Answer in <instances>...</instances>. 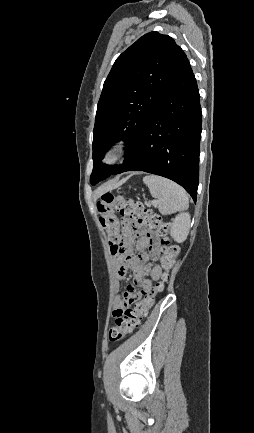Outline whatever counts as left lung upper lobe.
<instances>
[{"label":"left lung upper lobe","mask_w":254,"mask_h":433,"mask_svg":"<svg viewBox=\"0 0 254 433\" xmlns=\"http://www.w3.org/2000/svg\"><path fill=\"white\" fill-rule=\"evenodd\" d=\"M186 58L170 36L150 32L116 59L97 106L93 130L94 167L90 176L92 185L109 177L119 167L101 162L113 143L119 140L127 142L125 160L128 158Z\"/></svg>","instance_id":"obj_1"}]
</instances>
